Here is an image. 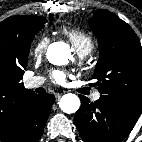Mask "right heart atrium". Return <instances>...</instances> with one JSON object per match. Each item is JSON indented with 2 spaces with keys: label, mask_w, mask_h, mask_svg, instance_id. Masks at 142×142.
I'll list each match as a JSON object with an SVG mask.
<instances>
[{
  "label": "right heart atrium",
  "mask_w": 142,
  "mask_h": 142,
  "mask_svg": "<svg viewBox=\"0 0 142 142\" xmlns=\"http://www.w3.org/2000/svg\"><path fill=\"white\" fill-rule=\"evenodd\" d=\"M49 38L45 35L39 37L37 41L33 44L31 53L35 58H40L46 52V49L49 45Z\"/></svg>",
  "instance_id": "1"
}]
</instances>
